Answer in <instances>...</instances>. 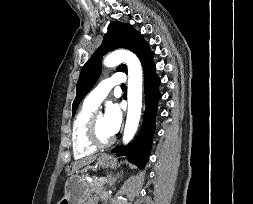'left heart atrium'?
I'll list each match as a JSON object with an SVG mask.
<instances>
[{"instance_id":"obj_1","label":"left heart atrium","mask_w":253,"mask_h":204,"mask_svg":"<svg viewBox=\"0 0 253 204\" xmlns=\"http://www.w3.org/2000/svg\"><path fill=\"white\" fill-rule=\"evenodd\" d=\"M104 121L106 129L111 135L118 132L122 123V112L118 104L109 103L106 106Z\"/></svg>"}]
</instances>
